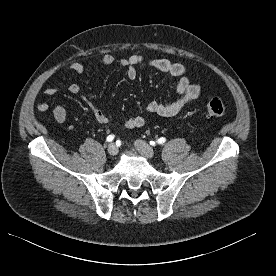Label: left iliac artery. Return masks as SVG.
Returning <instances> with one entry per match:
<instances>
[{"label":"left iliac artery","instance_id":"1","mask_svg":"<svg viewBox=\"0 0 276 276\" xmlns=\"http://www.w3.org/2000/svg\"><path fill=\"white\" fill-rule=\"evenodd\" d=\"M165 141H166V139L164 137H161L157 140V143L158 144H163V143H165ZM151 143H152V141H151Z\"/></svg>","mask_w":276,"mask_h":276}]
</instances>
